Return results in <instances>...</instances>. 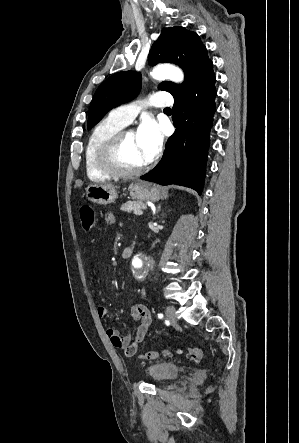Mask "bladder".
I'll return each instance as SVG.
<instances>
[{
    "label": "bladder",
    "instance_id": "31cf9c89",
    "mask_svg": "<svg viewBox=\"0 0 299 443\" xmlns=\"http://www.w3.org/2000/svg\"><path fill=\"white\" fill-rule=\"evenodd\" d=\"M179 366L171 361H155L146 367V374L151 382L157 385L169 382L178 377Z\"/></svg>",
    "mask_w": 299,
    "mask_h": 443
}]
</instances>
